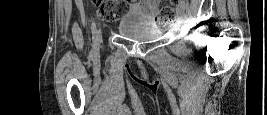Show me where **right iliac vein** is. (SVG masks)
Wrapping results in <instances>:
<instances>
[{
  "instance_id": "63e3f726",
  "label": "right iliac vein",
  "mask_w": 267,
  "mask_h": 115,
  "mask_svg": "<svg viewBox=\"0 0 267 115\" xmlns=\"http://www.w3.org/2000/svg\"><path fill=\"white\" fill-rule=\"evenodd\" d=\"M95 38H96V40H99V38H100V31L99 30H98Z\"/></svg>"
}]
</instances>
